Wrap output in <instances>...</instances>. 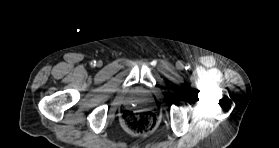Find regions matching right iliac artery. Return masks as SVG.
<instances>
[{
	"label": "right iliac artery",
	"mask_w": 279,
	"mask_h": 148,
	"mask_svg": "<svg viewBox=\"0 0 279 148\" xmlns=\"http://www.w3.org/2000/svg\"><path fill=\"white\" fill-rule=\"evenodd\" d=\"M91 65H92V66H95V65H96V61H92V62H91Z\"/></svg>",
	"instance_id": "82829eb1"
}]
</instances>
